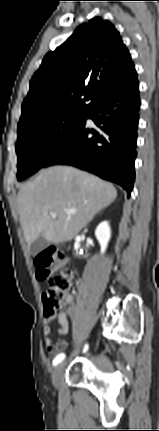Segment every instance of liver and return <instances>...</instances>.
Returning <instances> with one entry per match:
<instances>
[{
    "label": "liver",
    "instance_id": "liver-1",
    "mask_svg": "<svg viewBox=\"0 0 159 431\" xmlns=\"http://www.w3.org/2000/svg\"><path fill=\"white\" fill-rule=\"evenodd\" d=\"M116 197L112 184L73 167L53 166L41 171L20 188L17 198L28 246L40 236L54 244L71 241ZM68 209L77 212L67 214Z\"/></svg>",
    "mask_w": 159,
    "mask_h": 431
}]
</instances>
